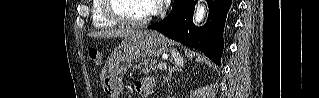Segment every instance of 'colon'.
<instances>
[{"label": "colon", "mask_w": 319, "mask_h": 98, "mask_svg": "<svg viewBox=\"0 0 319 98\" xmlns=\"http://www.w3.org/2000/svg\"><path fill=\"white\" fill-rule=\"evenodd\" d=\"M89 57L96 64H101L102 62V56L98 49H95V48L90 49Z\"/></svg>", "instance_id": "1"}]
</instances>
